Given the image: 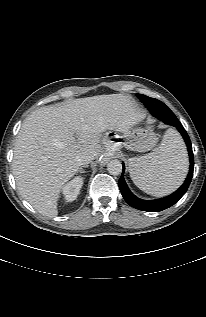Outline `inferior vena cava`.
I'll use <instances>...</instances> for the list:
<instances>
[{"label": "inferior vena cava", "mask_w": 206, "mask_h": 317, "mask_svg": "<svg viewBox=\"0 0 206 317\" xmlns=\"http://www.w3.org/2000/svg\"><path fill=\"white\" fill-rule=\"evenodd\" d=\"M95 156L96 155L94 153L85 152L77 157V162L79 165H87L89 162L95 159Z\"/></svg>", "instance_id": "602c4592"}]
</instances>
